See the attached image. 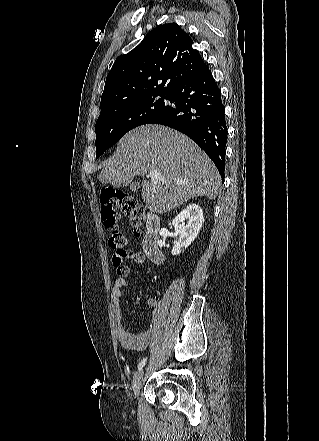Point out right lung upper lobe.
Here are the masks:
<instances>
[{
  "mask_svg": "<svg viewBox=\"0 0 319 441\" xmlns=\"http://www.w3.org/2000/svg\"><path fill=\"white\" fill-rule=\"evenodd\" d=\"M193 43L176 23L150 31L137 47L114 62L106 78L101 111L147 96H169L181 81L205 65Z\"/></svg>",
  "mask_w": 319,
  "mask_h": 441,
  "instance_id": "right-lung-upper-lobe-1",
  "label": "right lung upper lobe"
}]
</instances>
